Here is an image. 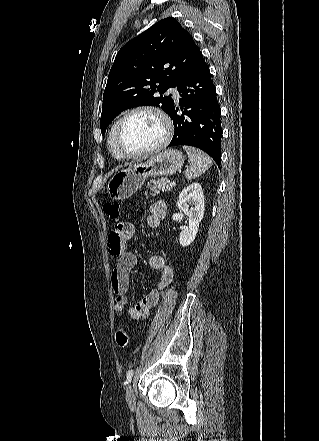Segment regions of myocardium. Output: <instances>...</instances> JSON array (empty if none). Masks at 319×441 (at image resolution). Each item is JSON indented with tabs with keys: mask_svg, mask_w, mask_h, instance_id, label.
I'll return each instance as SVG.
<instances>
[{
	"mask_svg": "<svg viewBox=\"0 0 319 441\" xmlns=\"http://www.w3.org/2000/svg\"><path fill=\"white\" fill-rule=\"evenodd\" d=\"M137 113H150L156 116L163 126V137L160 142L154 147L141 151V152H129L127 151L121 144L120 133L123 124L125 121L132 115ZM173 135V124L169 118V116L160 108L151 106V105H141L134 107L128 110L122 117L117 121L115 132H114V141L116 148L118 151L126 158H144L162 151L170 142Z\"/></svg>",
	"mask_w": 319,
	"mask_h": 441,
	"instance_id": "obj_1",
	"label": "myocardium"
}]
</instances>
